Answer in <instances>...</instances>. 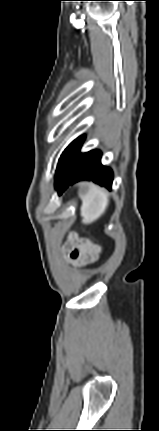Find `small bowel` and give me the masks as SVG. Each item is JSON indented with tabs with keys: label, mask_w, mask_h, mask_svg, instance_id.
I'll return each mask as SVG.
<instances>
[{
	"label": "small bowel",
	"mask_w": 159,
	"mask_h": 431,
	"mask_svg": "<svg viewBox=\"0 0 159 431\" xmlns=\"http://www.w3.org/2000/svg\"><path fill=\"white\" fill-rule=\"evenodd\" d=\"M98 245L104 242L101 236L95 239ZM72 247L69 251L68 258L70 263L75 266H85L95 262L100 254V247L88 240H80L75 236L71 237Z\"/></svg>",
	"instance_id": "obj_1"
}]
</instances>
